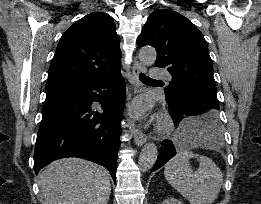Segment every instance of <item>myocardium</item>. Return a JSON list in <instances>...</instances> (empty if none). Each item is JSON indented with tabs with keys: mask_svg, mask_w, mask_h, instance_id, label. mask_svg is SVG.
I'll return each instance as SVG.
<instances>
[{
	"mask_svg": "<svg viewBox=\"0 0 261 204\" xmlns=\"http://www.w3.org/2000/svg\"><path fill=\"white\" fill-rule=\"evenodd\" d=\"M172 126L171 119L167 115L162 114L158 119L156 130L159 134L164 135L168 134L172 130Z\"/></svg>",
	"mask_w": 261,
	"mask_h": 204,
	"instance_id": "myocardium-1",
	"label": "myocardium"
}]
</instances>
